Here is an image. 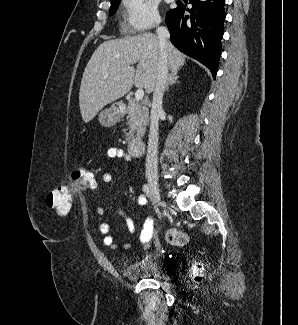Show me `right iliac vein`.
I'll list each match as a JSON object with an SVG mask.
<instances>
[{
    "label": "right iliac vein",
    "mask_w": 298,
    "mask_h": 325,
    "mask_svg": "<svg viewBox=\"0 0 298 325\" xmlns=\"http://www.w3.org/2000/svg\"><path fill=\"white\" fill-rule=\"evenodd\" d=\"M149 187L151 190V194L153 198L160 203L161 201V196H160V191H159V184L156 178L150 177L148 179Z\"/></svg>",
    "instance_id": "1"
}]
</instances>
